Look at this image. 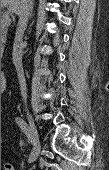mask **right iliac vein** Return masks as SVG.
I'll return each mask as SVG.
<instances>
[{
    "label": "right iliac vein",
    "instance_id": "right-iliac-vein-1",
    "mask_svg": "<svg viewBox=\"0 0 109 170\" xmlns=\"http://www.w3.org/2000/svg\"><path fill=\"white\" fill-rule=\"evenodd\" d=\"M27 120L29 123L30 140L32 141V144H33V150H32L31 156L29 158V161L33 162L38 158V156L40 154L41 143L39 140L36 126H35V124L32 120V117L30 116L29 113H27Z\"/></svg>",
    "mask_w": 109,
    "mask_h": 170
}]
</instances>
